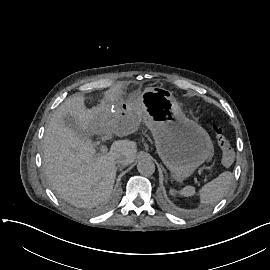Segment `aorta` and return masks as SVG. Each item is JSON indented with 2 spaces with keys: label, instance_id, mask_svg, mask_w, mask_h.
Listing matches in <instances>:
<instances>
[{
  "label": "aorta",
  "instance_id": "762f6f07",
  "mask_svg": "<svg viewBox=\"0 0 270 270\" xmlns=\"http://www.w3.org/2000/svg\"><path fill=\"white\" fill-rule=\"evenodd\" d=\"M137 169L141 175L151 176L155 172V164L149 158H142L137 165Z\"/></svg>",
  "mask_w": 270,
  "mask_h": 270
}]
</instances>
